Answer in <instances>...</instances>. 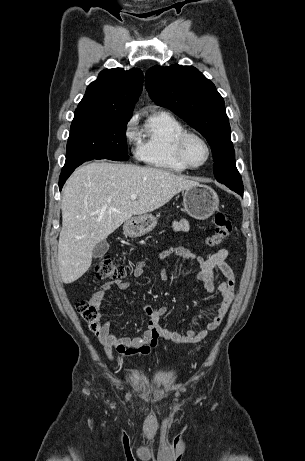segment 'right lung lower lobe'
Returning <instances> with one entry per match:
<instances>
[{
	"label": "right lung lower lobe",
	"instance_id": "1",
	"mask_svg": "<svg viewBox=\"0 0 305 461\" xmlns=\"http://www.w3.org/2000/svg\"><path fill=\"white\" fill-rule=\"evenodd\" d=\"M79 165H75L73 167H69V168H63L62 169V172H61V175H60V178H59V188L60 190L62 189L65 181L67 180V178L71 175V173L76 169V167H78Z\"/></svg>",
	"mask_w": 305,
	"mask_h": 461
}]
</instances>
